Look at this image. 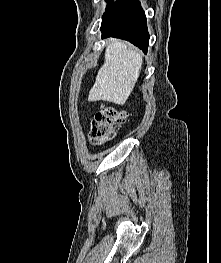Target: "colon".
<instances>
[{"label": "colon", "mask_w": 221, "mask_h": 263, "mask_svg": "<svg viewBox=\"0 0 221 263\" xmlns=\"http://www.w3.org/2000/svg\"><path fill=\"white\" fill-rule=\"evenodd\" d=\"M127 113L110 106L102 107L91 124L90 139L94 145L110 141L115 134L116 126L125 122Z\"/></svg>", "instance_id": "obj_1"}]
</instances>
